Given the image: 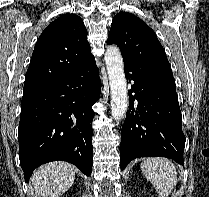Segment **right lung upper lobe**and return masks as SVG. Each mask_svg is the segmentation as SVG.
<instances>
[{"mask_svg": "<svg viewBox=\"0 0 209 197\" xmlns=\"http://www.w3.org/2000/svg\"><path fill=\"white\" fill-rule=\"evenodd\" d=\"M87 34L82 19L75 14L62 15L50 23L35 45L23 91L58 80L93 58Z\"/></svg>", "mask_w": 209, "mask_h": 197, "instance_id": "1", "label": "right lung upper lobe"}]
</instances>
